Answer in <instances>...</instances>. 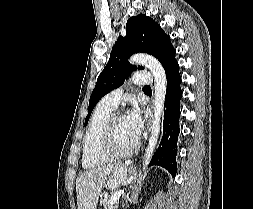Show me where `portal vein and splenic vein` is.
Instances as JSON below:
<instances>
[{"label": "portal vein and splenic vein", "instance_id": "portal-vein-and-splenic-vein-1", "mask_svg": "<svg viewBox=\"0 0 253 209\" xmlns=\"http://www.w3.org/2000/svg\"><path fill=\"white\" fill-rule=\"evenodd\" d=\"M123 190L117 191L115 192L112 196H111V204L115 203L119 197L121 196V194H123Z\"/></svg>", "mask_w": 253, "mask_h": 209}]
</instances>
